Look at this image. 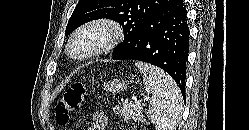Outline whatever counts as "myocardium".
Segmentation results:
<instances>
[{"label":"myocardium","instance_id":"myocardium-1","mask_svg":"<svg viewBox=\"0 0 249 130\" xmlns=\"http://www.w3.org/2000/svg\"><path fill=\"white\" fill-rule=\"evenodd\" d=\"M94 30L105 32L106 37L104 40L81 55L73 54L71 51L73 42ZM123 37L124 29L117 21L110 18H94L83 23L71 33L67 40L65 51L68 57L75 61H86L111 51L120 43Z\"/></svg>","mask_w":249,"mask_h":130}]
</instances>
